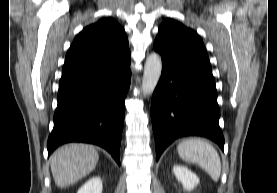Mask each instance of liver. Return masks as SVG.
Listing matches in <instances>:
<instances>
[{"mask_svg": "<svg viewBox=\"0 0 277 193\" xmlns=\"http://www.w3.org/2000/svg\"><path fill=\"white\" fill-rule=\"evenodd\" d=\"M98 159L91 145L71 143L58 148L50 157L55 184L64 188L79 181L96 167Z\"/></svg>", "mask_w": 277, "mask_h": 193, "instance_id": "obj_1", "label": "liver"}]
</instances>
